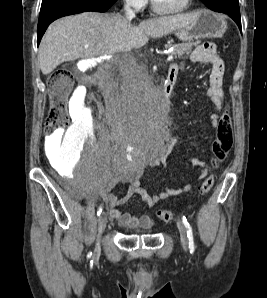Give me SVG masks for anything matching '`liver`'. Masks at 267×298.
<instances>
[{"label":"liver","instance_id":"1","mask_svg":"<svg viewBox=\"0 0 267 298\" xmlns=\"http://www.w3.org/2000/svg\"><path fill=\"white\" fill-rule=\"evenodd\" d=\"M196 19L195 13L159 17L131 24L118 14L84 12L54 21L39 46V62L43 74L76 59H90L138 49L148 37L159 38Z\"/></svg>","mask_w":267,"mask_h":298}]
</instances>
